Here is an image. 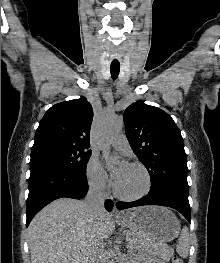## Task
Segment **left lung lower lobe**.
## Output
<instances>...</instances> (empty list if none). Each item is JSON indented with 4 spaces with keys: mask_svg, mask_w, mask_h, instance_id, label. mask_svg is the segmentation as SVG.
<instances>
[{
    "mask_svg": "<svg viewBox=\"0 0 220 263\" xmlns=\"http://www.w3.org/2000/svg\"><path fill=\"white\" fill-rule=\"evenodd\" d=\"M143 205H160L167 206L179 211L190 223V205L188 201V193H183L172 188H160L149 191V193L134 202H117L118 209H126Z\"/></svg>",
    "mask_w": 220,
    "mask_h": 263,
    "instance_id": "left-lung-lower-lobe-1",
    "label": "left lung lower lobe"
}]
</instances>
